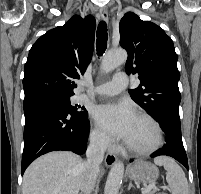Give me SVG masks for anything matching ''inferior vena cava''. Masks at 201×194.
Listing matches in <instances>:
<instances>
[{
  "label": "inferior vena cava",
  "mask_w": 201,
  "mask_h": 194,
  "mask_svg": "<svg viewBox=\"0 0 201 194\" xmlns=\"http://www.w3.org/2000/svg\"><path fill=\"white\" fill-rule=\"evenodd\" d=\"M107 145L108 142L105 136L91 139L86 151L87 160L84 162V173L80 188L81 194H91Z\"/></svg>",
  "instance_id": "obj_1"
}]
</instances>
